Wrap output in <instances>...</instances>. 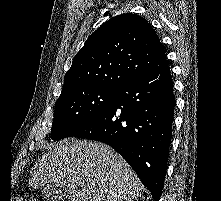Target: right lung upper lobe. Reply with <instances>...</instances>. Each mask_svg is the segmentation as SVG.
<instances>
[{"mask_svg": "<svg viewBox=\"0 0 221 201\" xmlns=\"http://www.w3.org/2000/svg\"><path fill=\"white\" fill-rule=\"evenodd\" d=\"M165 61L159 37L144 18L115 16L90 35L74 57L60 97L90 88L117 90Z\"/></svg>", "mask_w": 221, "mask_h": 201, "instance_id": "right-lung-upper-lobe-1", "label": "right lung upper lobe"}]
</instances>
